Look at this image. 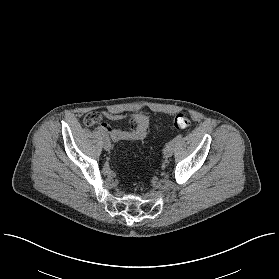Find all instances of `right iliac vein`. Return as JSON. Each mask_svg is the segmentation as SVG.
<instances>
[{
  "mask_svg": "<svg viewBox=\"0 0 279 279\" xmlns=\"http://www.w3.org/2000/svg\"><path fill=\"white\" fill-rule=\"evenodd\" d=\"M111 147L112 146H111V143H110L109 139L108 138H104V140H103V148L105 150L109 151L111 149Z\"/></svg>",
  "mask_w": 279,
  "mask_h": 279,
  "instance_id": "right-iliac-vein-1",
  "label": "right iliac vein"
}]
</instances>
